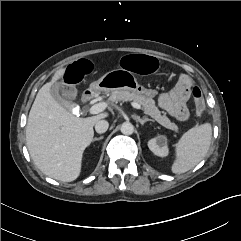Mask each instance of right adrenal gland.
I'll return each instance as SVG.
<instances>
[{
	"label": "right adrenal gland",
	"mask_w": 241,
	"mask_h": 241,
	"mask_svg": "<svg viewBox=\"0 0 241 241\" xmlns=\"http://www.w3.org/2000/svg\"><path fill=\"white\" fill-rule=\"evenodd\" d=\"M103 139V136L99 137V138H94L93 141H99V140H102Z\"/></svg>",
	"instance_id": "2a0ac1e0"
}]
</instances>
